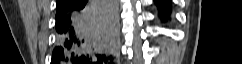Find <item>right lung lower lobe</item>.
Listing matches in <instances>:
<instances>
[{
	"instance_id": "98d812e1",
	"label": "right lung lower lobe",
	"mask_w": 242,
	"mask_h": 64,
	"mask_svg": "<svg viewBox=\"0 0 242 64\" xmlns=\"http://www.w3.org/2000/svg\"><path fill=\"white\" fill-rule=\"evenodd\" d=\"M117 0H69L56 13L51 64H111L117 42Z\"/></svg>"
}]
</instances>
